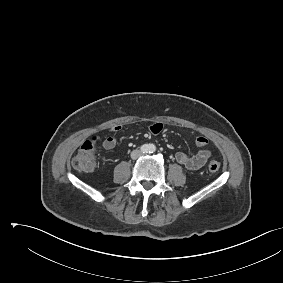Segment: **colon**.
<instances>
[{"mask_svg":"<svg viewBox=\"0 0 283 283\" xmlns=\"http://www.w3.org/2000/svg\"><path fill=\"white\" fill-rule=\"evenodd\" d=\"M96 140L92 139L83 143L78 152L72 159V166L77 171L90 172L94 169V148ZM208 169L210 172H217L220 169V162L217 160H211L208 163Z\"/></svg>","mask_w":283,"mask_h":283,"instance_id":"obj_1","label":"colon"}]
</instances>
